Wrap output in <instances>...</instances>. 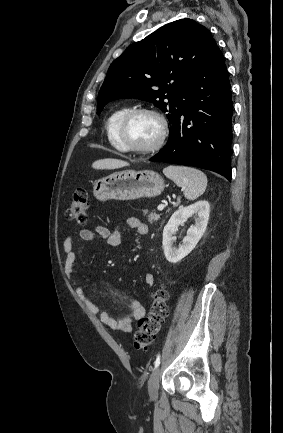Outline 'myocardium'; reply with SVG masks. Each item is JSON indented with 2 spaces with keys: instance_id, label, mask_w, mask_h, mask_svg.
Wrapping results in <instances>:
<instances>
[{
  "instance_id": "1",
  "label": "myocardium",
  "mask_w": 283,
  "mask_h": 433,
  "mask_svg": "<svg viewBox=\"0 0 283 433\" xmlns=\"http://www.w3.org/2000/svg\"><path fill=\"white\" fill-rule=\"evenodd\" d=\"M152 114L157 117L161 123V134L158 141L150 148H138L129 143L125 137L127 127L134 117L139 114ZM169 133V121L166 115L160 110L150 107H136L127 111L121 118L117 128V139L122 149L126 152L134 153L141 156H154L157 155L164 147Z\"/></svg>"
}]
</instances>
